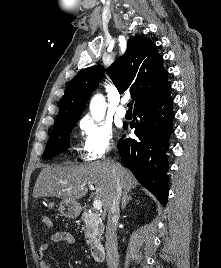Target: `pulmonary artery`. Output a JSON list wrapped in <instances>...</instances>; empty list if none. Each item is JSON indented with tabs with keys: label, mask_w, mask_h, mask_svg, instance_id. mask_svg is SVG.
Returning <instances> with one entry per match:
<instances>
[{
	"label": "pulmonary artery",
	"mask_w": 221,
	"mask_h": 268,
	"mask_svg": "<svg viewBox=\"0 0 221 268\" xmlns=\"http://www.w3.org/2000/svg\"><path fill=\"white\" fill-rule=\"evenodd\" d=\"M126 103V100H122L121 104L118 106L117 110H116V114L121 117L124 118L126 116V109L124 107V104Z\"/></svg>",
	"instance_id": "pulmonary-artery-1"
}]
</instances>
